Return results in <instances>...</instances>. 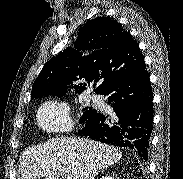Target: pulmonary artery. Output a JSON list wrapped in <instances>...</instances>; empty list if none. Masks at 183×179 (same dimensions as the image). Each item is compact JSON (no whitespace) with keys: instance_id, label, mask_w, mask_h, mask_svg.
<instances>
[{"instance_id":"obj_1","label":"pulmonary artery","mask_w":183,"mask_h":179,"mask_svg":"<svg viewBox=\"0 0 183 179\" xmlns=\"http://www.w3.org/2000/svg\"><path fill=\"white\" fill-rule=\"evenodd\" d=\"M90 99L95 103H102V98L98 95H91Z\"/></svg>"}]
</instances>
